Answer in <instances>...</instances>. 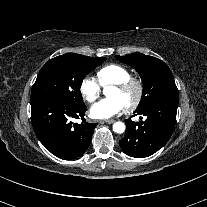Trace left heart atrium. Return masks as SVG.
<instances>
[{"instance_id": "1", "label": "left heart atrium", "mask_w": 207, "mask_h": 207, "mask_svg": "<svg viewBox=\"0 0 207 207\" xmlns=\"http://www.w3.org/2000/svg\"><path fill=\"white\" fill-rule=\"evenodd\" d=\"M126 110L125 103L118 98L102 99L90 108V115L95 119H110Z\"/></svg>"}]
</instances>
